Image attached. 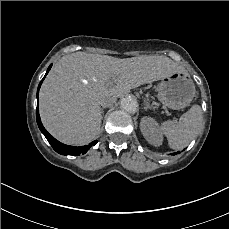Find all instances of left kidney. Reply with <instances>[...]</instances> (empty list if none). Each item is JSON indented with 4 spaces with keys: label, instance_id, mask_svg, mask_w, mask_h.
Wrapping results in <instances>:
<instances>
[{
    "label": "left kidney",
    "instance_id": "5707ae66",
    "mask_svg": "<svg viewBox=\"0 0 229 229\" xmlns=\"http://www.w3.org/2000/svg\"><path fill=\"white\" fill-rule=\"evenodd\" d=\"M141 132L145 139L153 146H159L162 143L161 131L157 123L151 118H144L141 121Z\"/></svg>",
    "mask_w": 229,
    "mask_h": 229
}]
</instances>
